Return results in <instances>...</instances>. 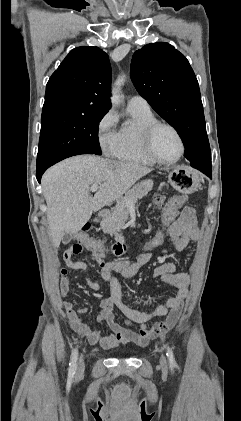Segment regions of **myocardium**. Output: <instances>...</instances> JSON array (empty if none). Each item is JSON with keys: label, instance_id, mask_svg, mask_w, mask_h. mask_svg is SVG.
<instances>
[{"label": "myocardium", "instance_id": "obj_1", "mask_svg": "<svg viewBox=\"0 0 241 421\" xmlns=\"http://www.w3.org/2000/svg\"><path fill=\"white\" fill-rule=\"evenodd\" d=\"M160 128L170 129L176 135V137L178 138V141L180 143V152H179L178 156L173 160H169V161L162 160L161 158H159L157 156V154L154 151V148H153L154 136ZM142 142H143V148H144L146 154L155 163L160 164V165L175 164L182 158V156L185 153V142L183 140V137H182L181 133L179 132V130L170 123L156 121V122L148 125L144 129L143 136H142Z\"/></svg>", "mask_w": 241, "mask_h": 421}]
</instances>
